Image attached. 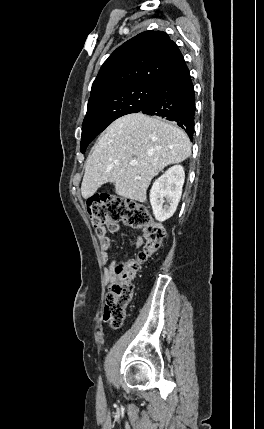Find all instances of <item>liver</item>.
<instances>
[{"instance_id":"6515ba94","label":"liver","mask_w":264,"mask_h":429,"mask_svg":"<svg viewBox=\"0 0 264 429\" xmlns=\"http://www.w3.org/2000/svg\"><path fill=\"white\" fill-rule=\"evenodd\" d=\"M190 154L191 142L175 123L142 113L127 114L106 128L88 157L82 196L88 199L110 182L117 195L143 203L151 180ZM133 160L136 166L130 165Z\"/></svg>"}]
</instances>
